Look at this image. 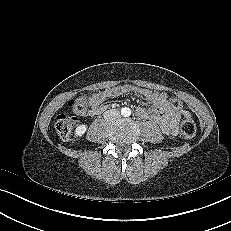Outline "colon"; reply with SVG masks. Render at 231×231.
<instances>
[{"instance_id":"colon-1","label":"colon","mask_w":231,"mask_h":231,"mask_svg":"<svg viewBox=\"0 0 231 231\" xmlns=\"http://www.w3.org/2000/svg\"><path fill=\"white\" fill-rule=\"evenodd\" d=\"M169 103L174 109H182L183 107L182 101L175 97L170 98ZM70 106L78 114H82L86 109L85 104L80 99L71 102ZM76 121L77 119L74 116L70 115L67 111L60 112L55 118L54 123V127L58 136L63 139L68 138L76 124ZM180 132L181 135L186 139L193 138L196 134L195 122L191 118L185 117L181 121Z\"/></svg>"}]
</instances>
